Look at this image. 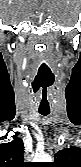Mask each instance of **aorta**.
I'll list each match as a JSON object with an SVG mask.
<instances>
[{"label":"aorta","instance_id":"aorta-1","mask_svg":"<svg viewBox=\"0 0 81 167\" xmlns=\"http://www.w3.org/2000/svg\"><path fill=\"white\" fill-rule=\"evenodd\" d=\"M34 160L37 162H51L52 158L49 155L43 154V155H36Z\"/></svg>","mask_w":81,"mask_h":167}]
</instances>
